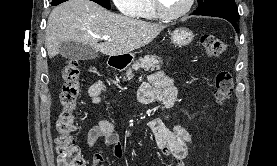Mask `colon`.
Masks as SVG:
<instances>
[{
  "mask_svg": "<svg viewBox=\"0 0 277 166\" xmlns=\"http://www.w3.org/2000/svg\"><path fill=\"white\" fill-rule=\"evenodd\" d=\"M198 44L210 58L223 55L228 48L227 43L214 35H202ZM63 85L60 93L61 112L56 122L58 136L56 148L59 166H85L84 158L75 143L73 133L76 130L74 111L80 95L81 71L79 63L68 60L62 70ZM233 77L228 71H220L214 79V99L217 104H224L231 96Z\"/></svg>",
  "mask_w": 277,
  "mask_h": 166,
  "instance_id": "1",
  "label": "colon"
}]
</instances>
